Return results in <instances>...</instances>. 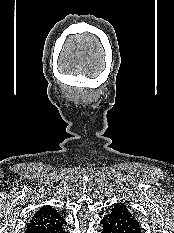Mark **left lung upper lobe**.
<instances>
[{
	"instance_id": "left-lung-upper-lobe-1",
	"label": "left lung upper lobe",
	"mask_w": 174,
	"mask_h": 233,
	"mask_svg": "<svg viewBox=\"0 0 174 233\" xmlns=\"http://www.w3.org/2000/svg\"><path fill=\"white\" fill-rule=\"evenodd\" d=\"M111 211L115 212V213H121L123 215H128V216L134 217L129 212L128 207L126 205L122 204V203L121 204H114V206L112 207Z\"/></svg>"
}]
</instances>
